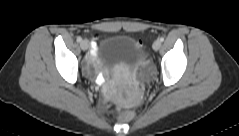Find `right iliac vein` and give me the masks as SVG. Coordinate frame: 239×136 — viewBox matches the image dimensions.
<instances>
[{
  "mask_svg": "<svg viewBox=\"0 0 239 136\" xmlns=\"http://www.w3.org/2000/svg\"><path fill=\"white\" fill-rule=\"evenodd\" d=\"M80 47L82 50H87L89 48V44L87 41L84 40V41H81Z\"/></svg>",
  "mask_w": 239,
  "mask_h": 136,
  "instance_id": "obj_1",
  "label": "right iliac vein"
}]
</instances>
